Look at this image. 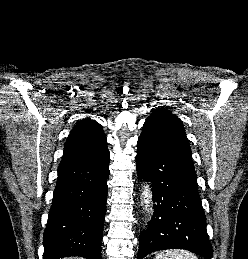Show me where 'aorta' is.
I'll return each mask as SVG.
<instances>
[{
  "label": "aorta",
  "instance_id": "1",
  "mask_svg": "<svg viewBox=\"0 0 248 259\" xmlns=\"http://www.w3.org/2000/svg\"><path fill=\"white\" fill-rule=\"evenodd\" d=\"M142 198H143V201H144V204H145V208L147 209L150 206V203H151V191H150L148 185H146L144 187V191L142 193Z\"/></svg>",
  "mask_w": 248,
  "mask_h": 259
}]
</instances>
